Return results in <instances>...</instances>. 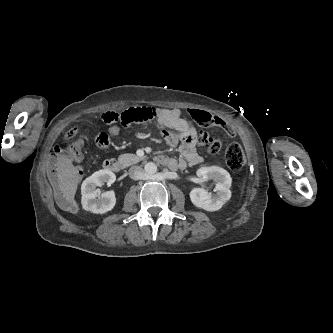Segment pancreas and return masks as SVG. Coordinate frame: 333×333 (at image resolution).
Masks as SVG:
<instances>
[{
    "mask_svg": "<svg viewBox=\"0 0 333 333\" xmlns=\"http://www.w3.org/2000/svg\"><path fill=\"white\" fill-rule=\"evenodd\" d=\"M119 160L124 164L125 167L136 164L143 160V157H139L135 154H122L119 156Z\"/></svg>",
    "mask_w": 333,
    "mask_h": 333,
    "instance_id": "cf45deb5",
    "label": "pancreas"
}]
</instances>
